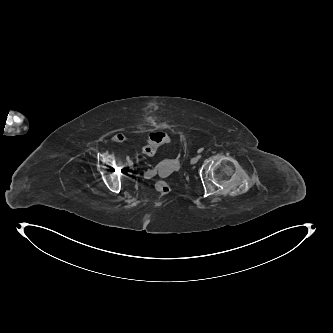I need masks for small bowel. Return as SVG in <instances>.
Here are the masks:
<instances>
[{
	"instance_id": "c3829d8e",
	"label": "small bowel",
	"mask_w": 333,
	"mask_h": 333,
	"mask_svg": "<svg viewBox=\"0 0 333 333\" xmlns=\"http://www.w3.org/2000/svg\"><path fill=\"white\" fill-rule=\"evenodd\" d=\"M114 140L117 141V142L123 141L124 140L123 134L118 133L117 135H115ZM154 171H155L154 169L147 171L146 172V177L147 178L153 177L155 175Z\"/></svg>"
}]
</instances>
